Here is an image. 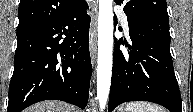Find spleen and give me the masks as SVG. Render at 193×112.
Wrapping results in <instances>:
<instances>
[{
    "label": "spleen",
    "instance_id": "3e777b00",
    "mask_svg": "<svg viewBox=\"0 0 193 112\" xmlns=\"http://www.w3.org/2000/svg\"><path fill=\"white\" fill-rule=\"evenodd\" d=\"M125 112H163V110L151 103L138 101L128 103Z\"/></svg>",
    "mask_w": 193,
    "mask_h": 112
}]
</instances>
